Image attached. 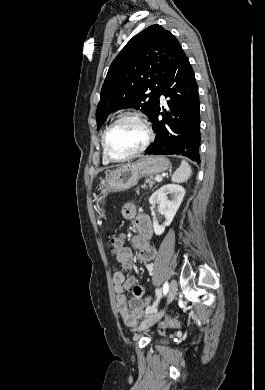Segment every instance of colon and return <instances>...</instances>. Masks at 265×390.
I'll return each mask as SVG.
<instances>
[{
  "label": "colon",
  "instance_id": "1",
  "mask_svg": "<svg viewBox=\"0 0 265 390\" xmlns=\"http://www.w3.org/2000/svg\"><path fill=\"white\" fill-rule=\"evenodd\" d=\"M107 245L115 252L118 248V237L115 234H109L107 236ZM144 304L147 311H153L157 307V302L147 296L144 297ZM165 324L172 328H180L182 326L180 321L171 317L165 318Z\"/></svg>",
  "mask_w": 265,
  "mask_h": 390
}]
</instances>
